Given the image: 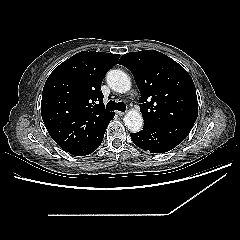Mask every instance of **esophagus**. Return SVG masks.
Here are the masks:
<instances>
[{
	"instance_id": "1",
	"label": "esophagus",
	"mask_w": 240,
	"mask_h": 240,
	"mask_svg": "<svg viewBox=\"0 0 240 240\" xmlns=\"http://www.w3.org/2000/svg\"><path fill=\"white\" fill-rule=\"evenodd\" d=\"M116 113H117L119 116L125 115V112H122V111H116Z\"/></svg>"
}]
</instances>
